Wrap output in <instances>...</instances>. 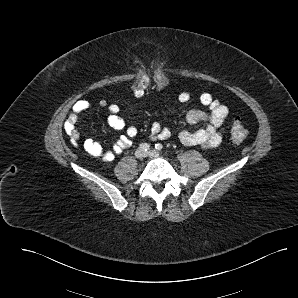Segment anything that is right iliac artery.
Instances as JSON below:
<instances>
[{"label": "right iliac artery", "mask_w": 298, "mask_h": 298, "mask_svg": "<svg viewBox=\"0 0 298 298\" xmlns=\"http://www.w3.org/2000/svg\"><path fill=\"white\" fill-rule=\"evenodd\" d=\"M139 148H141L144 151H148L150 149V145L148 143H141L139 145Z\"/></svg>", "instance_id": "right-iliac-artery-1"}]
</instances>
